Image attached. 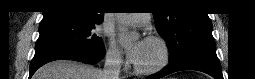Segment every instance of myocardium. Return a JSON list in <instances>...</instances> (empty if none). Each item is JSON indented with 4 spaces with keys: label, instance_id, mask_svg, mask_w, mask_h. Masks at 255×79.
<instances>
[{
    "label": "myocardium",
    "instance_id": "myocardium-1",
    "mask_svg": "<svg viewBox=\"0 0 255 79\" xmlns=\"http://www.w3.org/2000/svg\"><path fill=\"white\" fill-rule=\"evenodd\" d=\"M146 41L157 43L161 49L162 55L160 61L152 68H141L136 63L133 65L135 72L143 75L154 74L161 71L168 65L170 60V48L163 38L152 35L148 36Z\"/></svg>",
    "mask_w": 255,
    "mask_h": 79
}]
</instances>
